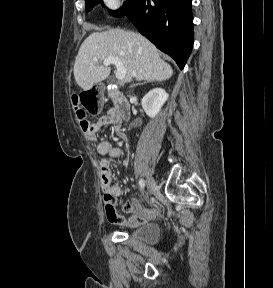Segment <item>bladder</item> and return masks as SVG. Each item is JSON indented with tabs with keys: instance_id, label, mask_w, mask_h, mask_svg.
Wrapping results in <instances>:
<instances>
[{
	"instance_id": "obj_1",
	"label": "bladder",
	"mask_w": 273,
	"mask_h": 288,
	"mask_svg": "<svg viewBox=\"0 0 273 288\" xmlns=\"http://www.w3.org/2000/svg\"><path fill=\"white\" fill-rule=\"evenodd\" d=\"M129 237L142 245L152 246L160 239V229L152 223L139 225L129 233Z\"/></svg>"
}]
</instances>
